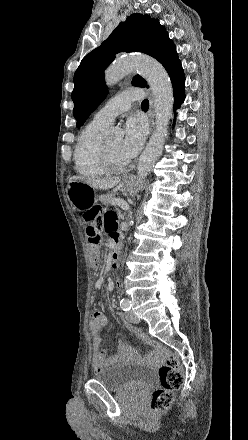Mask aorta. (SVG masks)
<instances>
[{"label": "aorta", "instance_id": "aorta-1", "mask_svg": "<svg viewBox=\"0 0 248 440\" xmlns=\"http://www.w3.org/2000/svg\"><path fill=\"white\" fill-rule=\"evenodd\" d=\"M133 71H138L148 82L154 96L155 130L139 158L137 167L140 178L147 177L162 153L168 133V124L173 108L174 96L170 78L163 66L145 56H128L116 59L105 71L108 87L116 85ZM118 134L117 128L106 132L107 136Z\"/></svg>", "mask_w": 248, "mask_h": 440}]
</instances>
